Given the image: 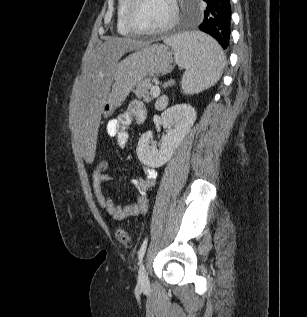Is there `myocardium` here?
Returning <instances> with one entry per match:
<instances>
[{
	"mask_svg": "<svg viewBox=\"0 0 307 317\" xmlns=\"http://www.w3.org/2000/svg\"><path fill=\"white\" fill-rule=\"evenodd\" d=\"M138 1L139 0H128L126 8H125V23L128 29L132 33L138 34V35H149V36L159 35L169 31L178 22L179 8H178L177 0H170L171 7H172V14L170 19L165 24L154 29L139 28L134 23L133 16H132L133 9L135 5L138 3Z\"/></svg>",
	"mask_w": 307,
	"mask_h": 317,
	"instance_id": "1",
	"label": "myocardium"
}]
</instances>
